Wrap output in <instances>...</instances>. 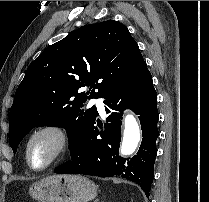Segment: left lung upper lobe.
<instances>
[{
	"mask_svg": "<svg viewBox=\"0 0 209 202\" xmlns=\"http://www.w3.org/2000/svg\"><path fill=\"white\" fill-rule=\"evenodd\" d=\"M143 63L129 30L113 20L82 26L49 46L28 66L15 92L9 115L13 152L40 126L64 127L70 149L95 119V106L83 109L87 99L103 97ZM86 86L88 91L78 93Z\"/></svg>",
	"mask_w": 209,
	"mask_h": 202,
	"instance_id": "5c2ea615",
	"label": "left lung upper lobe"
}]
</instances>
